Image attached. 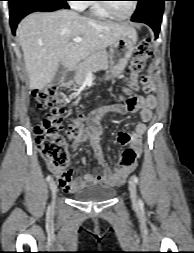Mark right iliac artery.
I'll return each instance as SVG.
<instances>
[{
    "mask_svg": "<svg viewBox=\"0 0 194 253\" xmlns=\"http://www.w3.org/2000/svg\"><path fill=\"white\" fill-rule=\"evenodd\" d=\"M51 179H52L51 175H48L47 176V181H51Z\"/></svg>",
    "mask_w": 194,
    "mask_h": 253,
    "instance_id": "obj_1",
    "label": "right iliac artery"
}]
</instances>
